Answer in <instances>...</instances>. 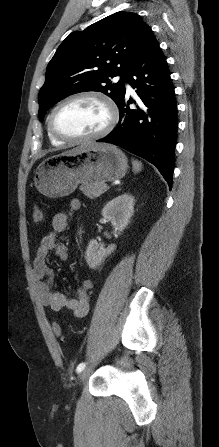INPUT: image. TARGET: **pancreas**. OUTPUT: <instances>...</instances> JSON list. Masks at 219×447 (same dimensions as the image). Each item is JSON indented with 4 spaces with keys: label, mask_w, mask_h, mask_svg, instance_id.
<instances>
[{
    "label": "pancreas",
    "mask_w": 219,
    "mask_h": 447,
    "mask_svg": "<svg viewBox=\"0 0 219 447\" xmlns=\"http://www.w3.org/2000/svg\"><path fill=\"white\" fill-rule=\"evenodd\" d=\"M80 190L83 194L89 198H96L102 195L106 191V186L102 183L99 184H83L80 186Z\"/></svg>",
    "instance_id": "1"
}]
</instances>
